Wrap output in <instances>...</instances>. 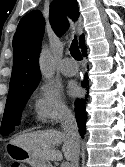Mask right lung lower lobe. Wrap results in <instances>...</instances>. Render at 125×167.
<instances>
[{"label":"right lung lower lobe","instance_id":"1","mask_svg":"<svg viewBox=\"0 0 125 167\" xmlns=\"http://www.w3.org/2000/svg\"><path fill=\"white\" fill-rule=\"evenodd\" d=\"M82 48L83 56H87V48L85 46V43L80 46ZM82 86L86 89H88V77L87 74H85L84 80L82 81ZM85 105H86V99H80L75 101V114H76V120L79 128L80 135L84 137L85 134V127H86V113H85Z\"/></svg>","mask_w":125,"mask_h":167}]
</instances>
